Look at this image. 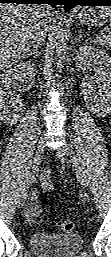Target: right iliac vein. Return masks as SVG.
I'll use <instances>...</instances> for the list:
<instances>
[{
	"mask_svg": "<svg viewBox=\"0 0 111 257\" xmlns=\"http://www.w3.org/2000/svg\"><path fill=\"white\" fill-rule=\"evenodd\" d=\"M44 150H45L44 142L42 140H40L37 144L36 152H35L33 163H32V168H31L30 174L27 179V181H29L30 183L33 181L35 172L37 171V168L43 158ZM26 198H27V195L21 194V197H20L19 203H18L19 208L24 207Z\"/></svg>",
	"mask_w": 111,
	"mask_h": 257,
	"instance_id": "1",
	"label": "right iliac vein"
}]
</instances>
